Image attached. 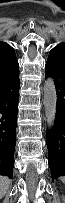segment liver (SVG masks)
Here are the masks:
<instances>
[{
  "label": "liver",
  "instance_id": "1",
  "mask_svg": "<svg viewBox=\"0 0 65 203\" xmlns=\"http://www.w3.org/2000/svg\"><path fill=\"white\" fill-rule=\"evenodd\" d=\"M10 184V180L6 177L0 178V197L3 198L7 193L8 187Z\"/></svg>",
  "mask_w": 65,
  "mask_h": 203
}]
</instances>
